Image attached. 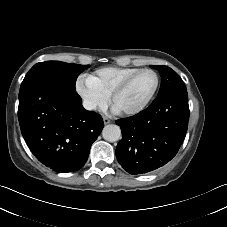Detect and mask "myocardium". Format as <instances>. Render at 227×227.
<instances>
[{
  "mask_svg": "<svg viewBox=\"0 0 227 227\" xmlns=\"http://www.w3.org/2000/svg\"><path fill=\"white\" fill-rule=\"evenodd\" d=\"M146 72H150V73L154 74V76H155V85H154L151 93L149 94L147 99L141 105H139L138 107H136L134 109H130V110H120L121 113H123L125 115H136V114L144 111L149 106L151 101L153 100L154 96L156 95V93L159 89L160 78H159L158 73L156 71H154L153 69L144 68V69H141V70L135 72L134 74H132L131 76L126 78L122 83H120L111 93V101L115 105L117 97L121 93H123L125 90L128 89V87L130 86L132 81L140 74L146 73Z\"/></svg>",
  "mask_w": 227,
  "mask_h": 227,
  "instance_id": "myocardium-1",
  "label": "myocardium"
}]
</instances>
